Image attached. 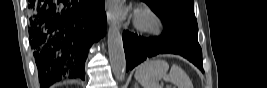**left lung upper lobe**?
Listing matches in <instances>:
<instances>
[{"label": "left lung upper lobe", "instance_id": "obj_1", "mask_svg": "<svg viewBox=\"0 0 267 88\" xmlns=\"http://www.w3.org/2000/svg\"><path fill=\"white\" fill-rule=\"evenodd\" d=\"M162 19L167 29L198 32L193 0H142Z\"/></svg>", "mask_w": 267, "mask_h": 88}]
</instances>
